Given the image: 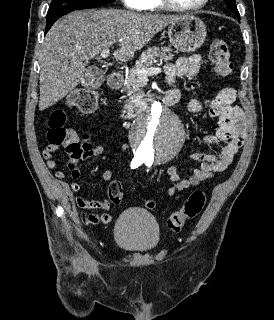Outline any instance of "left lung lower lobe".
I'll use <instances>...</instances> for the list:
<instances>
[{"mask_svg":"<svg viewBox=\"0 0 274 320\" xmlns=\"http://www.w3.org/2000/svg\"><path fill=\"white\" fill-rule=\"evenodd\" d=\"M238 21H240V16H238Z\"/></svg>","mask_w":274,"mask_h":320,"instance_id":"obj_1","label":"left lung lower lobe"}]
</instances>
